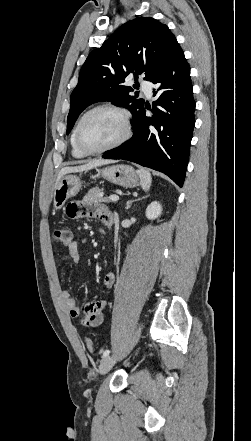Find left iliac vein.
Wrapping results in <instances>:
<instances>
[{
    "mask_svg": "<svg viewBox=\"0 0 251 441\" xmlns=\"http://www.w3.org/2000/svg\"><path fill=\"white\" fill-rule=\"evenodd\" d=\"M116 362V359L113 356H107L105 357L99 366V373L100 375H105L108 373L112 367L114 366Z\"/></svg>",
    "mask_w": 251,
    "mask_h": 441,
    "instance_id": "left-iliac-vein-1",
    "label": "left iliac vein"
}]
</instances>
